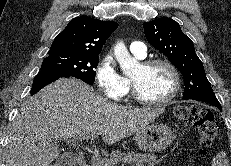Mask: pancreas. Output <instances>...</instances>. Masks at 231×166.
Wrapping results in <instances>:
<instances>
[{"instance_id":"pancreas-1","label":"pancreas","mask_w":231,"mask_h":166,"mask_svg":"<svg viewBox=\"0 0 231 166\" xmlns=\"http://www.w3.org/2000/svg\"><path fill=\"white\" fill-rule=\"evenodd\" d=\"M160 159L153 154H140L134 152L112 151L109 157L92 158L86 166H116L117 164H130L131 166H154Z\"/></svg>"}]
</instances>
